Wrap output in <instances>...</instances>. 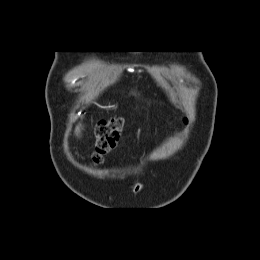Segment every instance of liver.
<instances>
[{"instance_id": "6515ba94", "label": "liver", "mask_w": 260, "mask_h": 260, "mask_svg": "<svg viewBox=\"0 0 260 260\" xmlns=\"http://www.w3.org/2000/svg\"><path fill=\"white\" fill-rule=\"evenodd\" d=\"M80 132H81V125H78V126L76 127L75 133H76V135H79Z\"/></svg>"}]
</instances>
